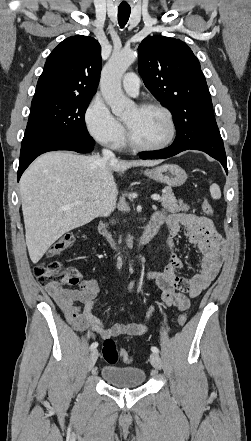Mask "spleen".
I'll list each match as a JSON object with an SVG mask.
<instances>
[{"label":"spleen","mask_w":251,"mask_h":441,"mask_svg":"<svg viewBox=\"0 0 251 441\" xmlns=\"http://www.w3.org/2000/svg\"><path fill=\"white\" fill-rule=\"evenodd\" d=\"M210 194L213 199L215 200L220 199L221 198L220 187L217 184H212L210 186Z\"/></svg>","instance_id":"1"}]
</instances>
